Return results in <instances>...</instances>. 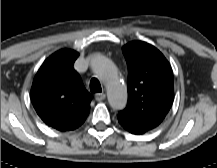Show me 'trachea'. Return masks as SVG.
Wrapping results in <instances>:
<instances>
[{
  "label": "trachea",
  "instance_id": "1",
  "mask_svg": "<svg viewBox=\"0 0 217 168\" xmlns=\"http://www.w3.org/2000/svg\"><path fill=\"white\" fill-rule=\"evenodd\" d=\"M90 91L91 93H99L102 91L100 82L96 78H92L90 81Z\"/></svg>",
  "mask_w": 217,
  "mask_h": 168
}]
</instances>
